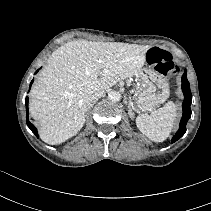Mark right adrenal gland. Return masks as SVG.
<instances>
[{"label":"right adrenal gland","instance_id":"obj_1","mask_svg":"<svg viewBox=\"0 0 211 211\" xmlns=\"http://www.w3.org/2000/svg\"><path fill=\"white\" fill-rule=\"evenodd\" d=\"M96 103V100H94L91 104H90V107H89V109L91 108V107H93V105Z\"/></svg>","mask_w":211,"mask_h":211}]
</instances>
